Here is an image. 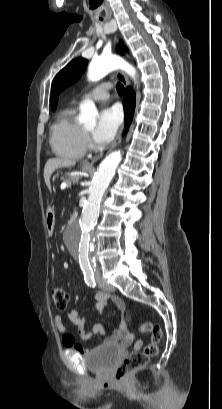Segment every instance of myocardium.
<instances>
[{
	"label": "myocardium",
	"instance_id": "myocardium-1",
	"mask_svg": "<svg viewBox=\"0 0 222 409\" xmlns=\"http://www.w3.org/2000/svg\"><path fill=\"white\" fill-rule=\"evenodd\" d=\"M83 132H84V139H85V142L86 143H88V144H91V140H90V135H89V132L85 129V130H83Z\"/></svg>",
	"mask_w": 222,
	"mask_h": 409
}]
</instances>
